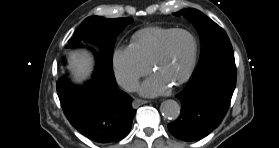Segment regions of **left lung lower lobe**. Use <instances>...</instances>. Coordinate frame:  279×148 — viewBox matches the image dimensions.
I'll list each match as a JSON object with an SVG mask.
<instances>
[{
    "label": "left lung lower lobe",
    "mask_w": 279,
    "mask_h": 148,
    "mask_svg": "<svg viewBox=\"0 0 279 148\" xmlns=\"http://www.w3.org/2000/svg\"><path fill=\"white\" fill-rule=\"evenodd\" d=\"M236 86L234 57L214 59L199 67L186 88L176 95L180 116L168 124L170 133L183 141H198L223 120Z\"/></svg>",
    "instance_id": "obj_1"
}]
</instances>
